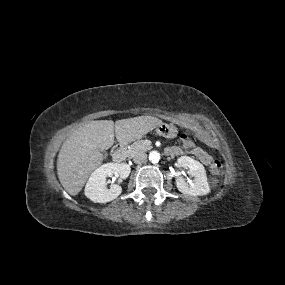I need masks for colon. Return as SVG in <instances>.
Returning <instances> with one entry per match:
<instances>
[{"mask_svg": "<svg viewBox=\"0 0 285 285\" xmlns=\"http://www.w3.org/2000/svg\"><path fill=\"white\" fill-rule=\"evenodd\" d=\"M180 141L182 142L183 147L187 149H193L196 146V141L192 135L183 132L179 136ZM211 172L214 176L219 177L222 174V164L220 161L216 160L211 166Z\"/></svg>", "mask_w": 285, "mask_h": 285, "instance_id": "5ec220e1", "label": "colon"}]
</instances>
